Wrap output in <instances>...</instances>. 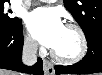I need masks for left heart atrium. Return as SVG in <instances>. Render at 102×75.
<instances>
[{
  "label": "left heart atrium",
  "mask_w": 102,
  "mask_h": 75,
  "mask_svg": "<svg viewBox=\"0 0 102 75\" xmlns=\"http://www.w3.org/2000/svg\"><path fill=\"white\" fill-rule=\"evenodd\" d=\"M63 27L57 13L48 9H37L28 19L29 32L45 47L55 46Z\"/></svg>",
  "instance_id": "obj_1"
}]
</instances>
